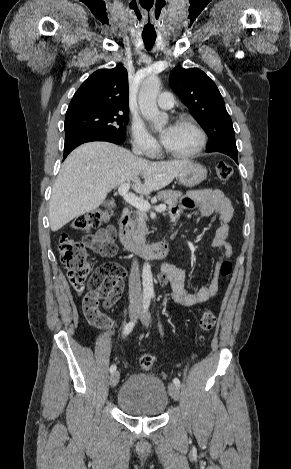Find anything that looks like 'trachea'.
<instances>
[{
    "instance_id": "3493384b",
    "label": "trachea",
    "mask_w": 291,
    "mask_h": 469,
    "mask_svg": "<svg viewBox=\"0 0 291 469\" xmlns=\"http://www.w3.org/2000/svg\"><path fill=\"white\" fill-rule=\"evenodd\" d=\"M142 38H143V42L145 44L146 49L147 50L152 49L155 43L156 37H142Z\"/></svg>"
}]
</instances>
